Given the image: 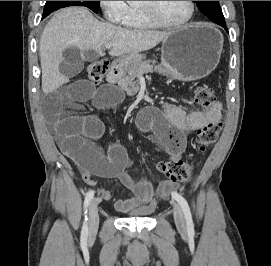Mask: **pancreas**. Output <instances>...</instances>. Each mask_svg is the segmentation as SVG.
Instances as JSON below:
<instances>
[{"label":"pancreas","mask_w":271,"mask_h":266,"mask_svg":"<svg viewBox=\"0 0 271 266\" xmlns=\"http://www.w3.org/2000/svg\"><path fill=\"white\" fill-rule=\"evenodd\" d=\"M151 62L153 64H150ZM154 63L155 61L146 60L130 68L128 74L119 81L121 88L130 96L136 94L139 90V83L135 79L145 73L160 70V66H155Z\"/></svg>","instance_id":"cf45deb5"}]
</instances>
